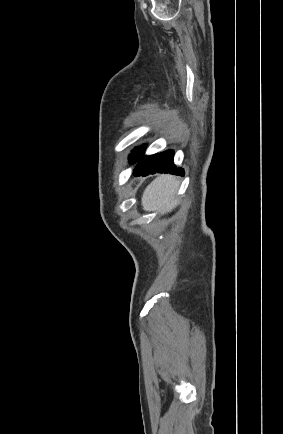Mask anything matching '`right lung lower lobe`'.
Masks as SVG:
<instances>
[{
    "label": "right lung lower lobe",
    "instance_id": "right-lung-lower-lobe-1",
    "mask_svg": "<svg viewBox=\"0 0 283 434\" xmlns=\"http://www.w3.org/2000/svg\"><path fill=\"white\" fill-rule=\"evenodd\" d=\"M173 157L174 153L171 150L151 156H144L138 161L133 174L135 176H146L156 172H169L171 174L183 175V170L181 168H176L174 165Z\"/></svg>",
    "mask_w": 283,
    "mask_h": 434
}]
</instances>
